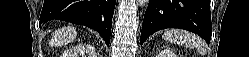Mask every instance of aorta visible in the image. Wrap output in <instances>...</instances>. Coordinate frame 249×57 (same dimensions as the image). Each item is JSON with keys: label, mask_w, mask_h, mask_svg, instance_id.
<instances>
[{"label": "aorta", "mask_w": 249, "mask_h": 57, "mask_svg": "<svg viewBox=\"0 0 249 57\" xmlns=\"http://www.w3.org/2000/svg\"><path fill=\"white\" fill-rule=\"evenodd\" d=\"M149 0H137V3L140 7H144L148 4Z\"/></svg>", "instance_id": "aorta-1"}]
</instances>
